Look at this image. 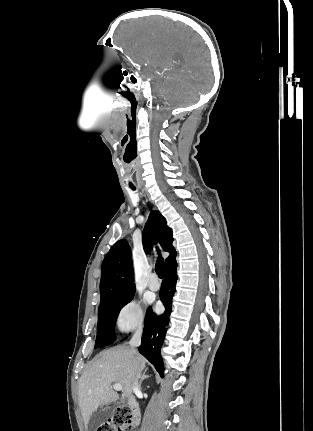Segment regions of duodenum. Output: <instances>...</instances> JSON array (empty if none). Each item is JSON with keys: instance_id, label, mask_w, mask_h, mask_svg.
Returning <instances> with one entry per match:
<instances>
[{"instance_id": "1", "label": "duodenum", "mask_w": 313, "mask_h": 431, "mask_svg": "<svg viewBox=\"0 0 313 431\" xmlns=\"http://www.w3.org/2000/svg\"><path fill=\"white\" fill-rule=\"evenodd\" d=\"M128 405L133 413V417H134V422L137 425L139 422V408H138V404L136 403V401L133 398H129L128 399Z\"/></svg>"}]
</instances>
